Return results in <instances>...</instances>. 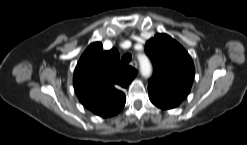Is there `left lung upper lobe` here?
Wrapping results in <instances>:
<instances>
[{"instance_id":"1","label":"left lung upper lobe","mask_w":247,"mask_h":145,"mask_svg":"<svg viewBox=\"0 0 247 145\" xmlns=\"http://www.w3.org/2000/svg\"><path fill=\"white\" fill-rule=\"evenodd\" d=\"M145 52L154 67L148 88H153L180 99L190 92L195 68L188 52L167 34H157L147 41Z\"/></svg>"}]
</instances>
